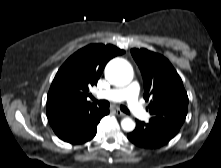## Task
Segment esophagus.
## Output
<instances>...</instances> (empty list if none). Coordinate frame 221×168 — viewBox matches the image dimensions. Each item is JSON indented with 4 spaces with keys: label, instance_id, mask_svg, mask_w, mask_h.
Wrapping results in <instances>:
<instances>
[{
    "label": "esophagus",
    "instance_id": "1",
    "mask_svg": "<svg viewBox=\"0 0 221 168\" xmlns=\"http://www.w3.org/2000/svg\"><path fill=\"white\" fill-rule=\"evenodd\" d=\"M115 114L117 115V116H120V117H125L126 116V114L125 113H123L121 110H119V109H115Z\"/></svg>",
    "mask_w": 221,
    "mask_h": 168
}]
</instances>
